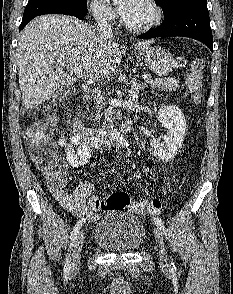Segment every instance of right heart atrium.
Here are the masks:
<instances>
[{"mask_svg":"<svg viewBox=\"0 0 233 294\" xmlns=\"http://www.w3.org/2000/svg\"><path fill=\"white\" fill-rule=\"evenodd\" d=\"M89 10L94 19L101 23H109L116 18L115 13L104 0H90Z\"/></svg>","mask_w":233,"mask_h":294,"instance_id":"d8ad5b80","label":"right heart atrium"}]
</instances>
